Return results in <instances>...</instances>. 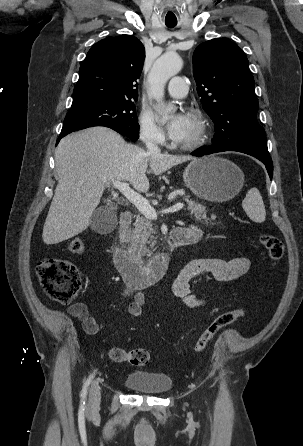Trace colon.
Instances as JSON below:
<instances>
[{
  "label": "colon",
  "mask_w": 303,
  "mask_h": 446,
  "mask_svg": "<svg viewBox=\"0 0 303 446\" xmlns=\"http://www.w3.org/2000/svg\"><path fill=\"white\" fill-rule=\"evenodd\" d=\"M260 242L267 250L268 256L273 263L281 260L284 254L282 241L271 234H263ZM72 254L80 255L85 251V245L79 238L72 239L68 244ZM36 273L40 284L47 296L61 304L71 303L81 286L79 272L76 266L65 259L44 258L36 265ZM244 315V309L236 308L225 311L213 319L197 338L194 350L202 352L213 339V337L225 326L236 321ZM110 358L118 363L127 362L134 366H144L150 360V353L145 349L124 350L112 348L109 351Z\"/></svg>",
  "instance_id": "5ec220e1"
}]
</instances>
